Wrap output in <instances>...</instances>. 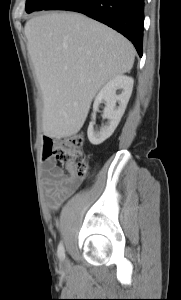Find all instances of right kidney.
Wrapping results in <instances>:
<instances>
[{
  "mask_svg": "<svg viewBox=\"0 0 181 300\" xmlns=\"http://www.w3.org/2000/svg\"><path fill=\"white\" fill-rule=\"evenodd\" d=\"M134 80L126 75H119L108 81L97 94L94 100V109L97 110L100 103L105 102L103 116L108 120L100 131H94L95 121L88 127V139L93 145H99L108 139L118 126L130 99ZM122 89V93L117 95L116 91ZM118 102L119 106L116 107Z\"/></svg>",
  "mask_w": 181,
  "mask_h": 300,
  "instance_id": "right-kidney-1",
  "label": "right kidney"
}]
</instances>
